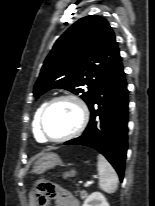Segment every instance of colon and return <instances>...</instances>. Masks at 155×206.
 Returning <instances> with one entry per match:
<instances>
[{
    "instance_id": "5ec220e1",
    "label": "colon",
    "mask_w": 155,
    "mask_h": 206,
    "mask_svg": "<svg viewBox=\"0 0 155 206\" xmlns=\"http://www.w3.org/2000/svg\"><path fill=\"white\" fill-rule=\"evenodd\" d=\"M54 185L49 180H42L37 187L32 190V194L37 200L39 206H45L49 195L53 192Z\"/></svg>"
}]
</instances>
